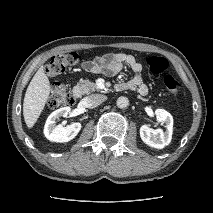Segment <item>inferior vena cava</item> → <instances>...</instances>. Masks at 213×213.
Instances as JSON below:
<instances>
[{
  "label": "inferior vena cava",
  "instance_id": "602c4592",
  "mask_svg": "<svg viewBox=\"0 0 213 213\" xmlns=\"http://www.w3.org/2000/svg\"><path fill=\"white\" fill-rule=\"evenodd\" d=\"M84 100H85L86 107L95 108L98 105H100L101 103H103L104 101H106L107 96L102 95V94H93V95L86 97Z\"/></svg>",
  "mask_w": 213,
  "mask_h": 213
}]
</instances>
